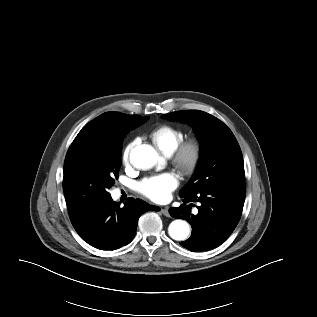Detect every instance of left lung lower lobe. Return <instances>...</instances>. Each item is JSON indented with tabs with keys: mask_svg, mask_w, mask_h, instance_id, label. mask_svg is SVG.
I'll return each instance as SVG.
<instances>
[{
	"mask_svg": "<svg viewBox=\"0 0 317 317\" xmlns=\"http://www.w3.org/2000/svg\"><path fill=\"white\" fill-rule=\"evenodd\" d=\"M245 184L215 185L197 195L183 196V202H198V214L191 213V205L169 209L174 218L187 220L192 227L189 239L180 244L192 252L206 251L220 246L237 226L245 201Z\"/></svg>",
	"mask_w": 317,
	"mask_h": 317,
	"instance_id": "obj_1",
	"label": "left lung lower lobe"
}]
</instances>
